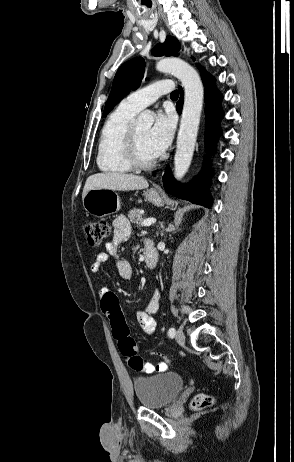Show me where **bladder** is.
<instances>
[{"mask_svg": "<svg viewBox=\"0 0 294 462\" xmlns=\"http://www.w3.org/2000/svg\"><path fill=\"white\" fill-rule=\"evenodd\" d=\"M134 390L140 404L147 408H163L172 404L185 385L182 376L162 372L134 380Z\"/></svg>", "mask_w": 294, "mask_h": 462, "instance_id": "1", "label": "bladder"}]
</instances>
